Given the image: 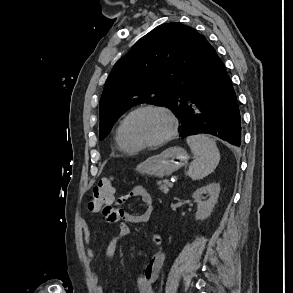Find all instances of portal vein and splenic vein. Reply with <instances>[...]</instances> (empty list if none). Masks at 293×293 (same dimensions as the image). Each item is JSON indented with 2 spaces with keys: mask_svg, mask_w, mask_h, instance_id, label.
I'll return each instance as SVG.
<instances>
[{
  "mask_svg": "<svg viewBox=\"0 0 293 293\" xmlns=\"http://www.w3.org/2000/svg\"><path fill=\"white\" fill-rule=\"evenodd\" d=\"M173 186H174L173 182H169V187H173Z\"/></svg>",
  "mask_w": 293,
  "mask_h": 293,
  "instance_id": "portal-vein-and-splenic-vein-1",
  "label": "portal vein and splenic vein"
}]
</instances>
